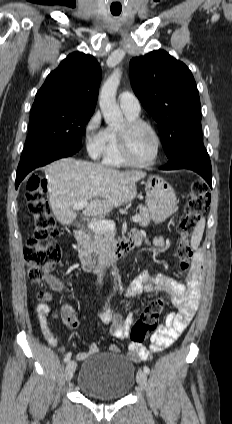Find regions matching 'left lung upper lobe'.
Segmentation results:
<instances>
[{
  "label": "left lung upper lobe",
  "instance_id": "1",
  "mask_svg": "<svg viewBox=\"0 0 232 424\" xmlns=\"http://www.w3.org/2000/svg\"><path fill=\"white\" fill-rule=\"evenodd\" d=\"M134 93L157 122L167 157L187 139L201 134V107L188 67L163 50L136 57L129 64Z\"/></svg>",
  "mask_w": 232,
  "mask_h": 424
}]
</instances>
